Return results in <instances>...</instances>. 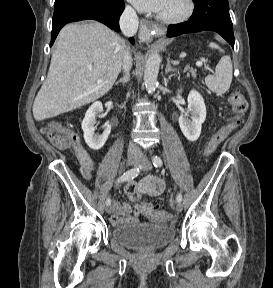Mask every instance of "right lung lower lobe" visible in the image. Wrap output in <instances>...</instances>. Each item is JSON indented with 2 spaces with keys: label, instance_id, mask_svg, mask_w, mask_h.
<instances>
[{
  "label": "right lung lower lobe",
  "instance_id": "98d812e1",
  "mask_svg": "<svg viewBox=\"0 0 273 288\" xmlns=\"http://www.w3.org/2000/svg\"><path fill=\"white\" fill-rule=\"evenodd\" d=\"M124 8L123 0L55 1L50 46L53 45L60 29L65 24L74 21L94 19L115 31H119V18ZM130 42L134 44V39L130 38Z\"/></svg>",
  "mask_w": 273,
  "mask_h": 288
}]
</instances>
